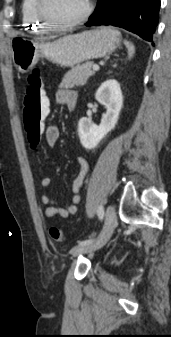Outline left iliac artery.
I'll return each instance as SVG.
<instances>
[{
	"label": "left iliac artery",
	"instance_id": "1",
	"mask_svg": "<svg viewBox=\"0 0 171 337\" xmlns=\"http://www.w3.org/2000/svg\"><path fill=\"white\" fill-rule=\"evenodd\" d=\"M97 215L99 217L100 220L103 219L104 217V208L102 205L99 206L98 210H97ZM92 239H89V240H85V241H79L78 243L79 244H85V243H88V242H91Z\"/></svg>",
	"mask_w": 171,
	"mask_h": 337
}]
</instances>
